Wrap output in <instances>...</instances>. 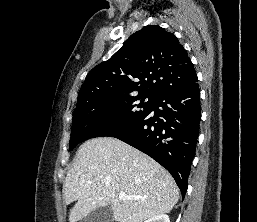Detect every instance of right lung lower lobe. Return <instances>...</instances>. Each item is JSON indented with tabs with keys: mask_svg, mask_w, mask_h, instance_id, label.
Listing matches in <instances>:
<instances>
[{
	"mask_svg": "<svg viewBox=\"0 0 257 222\" xmlns=\"http://www.w3.org/2000/svg\"><path fill=\"white\" fill-rule=\"evenodd\" d=\"M198 78L154 97L152 109L112 137L135 147L166 168L184 197L201 119Z\"/></svg>",
	"mask_w": 257,
	"mask_h": 222,
	"instance_id": "98d812e1",
	"label": "right lung lower lobe"
}]
</instances>
